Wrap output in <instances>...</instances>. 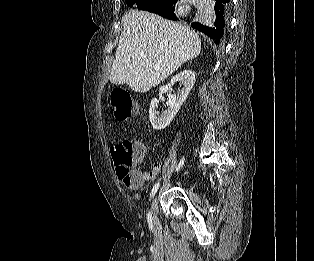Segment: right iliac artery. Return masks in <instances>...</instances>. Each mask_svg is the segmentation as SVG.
<instances>
[{"label":"right iliac artery","instance_id":"obj_1","mask_svg":"<svg viewBox=\"0 0 314 261\" xmlns=\"http://www.w3.org/2000/svg\"><path fill=\"white\" fill-rule=\"evenodd\" d=\"M183 163H184V157L180 160V162H179V164H178V166H177V168H176V171H178V170L180 169V167L183 165ZM159 185H160L159 182H157V183L154 185V187H153V189H152V191H151V197H152V198H153L154 195L156 194V192H157V190H158V188H159ZM147 220H148L149 226L152 227V226H153V224H152V215H151L150 211H149L148 214H147Z\"/></svg>","mask_w":314,"mask_h":261}]
</instances>
